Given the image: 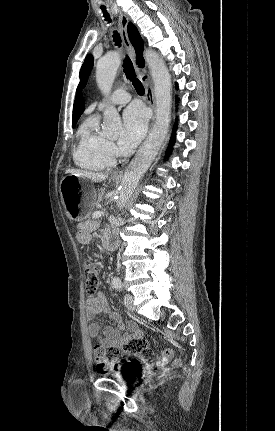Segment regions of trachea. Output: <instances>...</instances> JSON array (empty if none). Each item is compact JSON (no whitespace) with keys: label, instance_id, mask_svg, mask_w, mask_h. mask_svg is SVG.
<instances>
[{"label":"trachea","instance_id":"3493384b","mask_svg":"<svg viewBox=\"0 0 275 431\" xmlns=\"http://www.w3.org/2000/svg\"><path fill=\"white\" fill-rule=\"evenodd\" d=\"M102 11H103V16L105 17V20L110 22V17H109L108 12L105 10V8H102ZM113 41L115 42V45L121 46V39H120L119 33L117 31H114ZM123 68H124V73L126 74L127 79H129L132 82L137 93L139 95H143L145 93V89H144L142 83L136 78V74L134 71L132 61L130 60V58L128 56H126L124 59Z\"/></svg>","mask_w":275,"mask_h":431}]
</instances>
